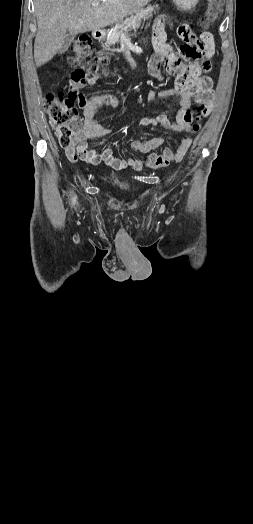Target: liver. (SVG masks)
<instances>
[{
  "label": "liver",
  "instance_id": "obj_1",
  "mask_svg": "<svg viewBox=\"0 0 253 524\" xmlns=\"http://www.w3.org/2000/svg\"><path fill=\"white\" fill-rule=\"evenodd\" d=\"M151 0H34L37 34L36 66L50 61L59 51L67 32L80 34L100 30L136 13ZM92 3H98L93 7Z\"/></svg>",
  "mask_w": 253,
  "mask_h": 524
}]
</instances>
